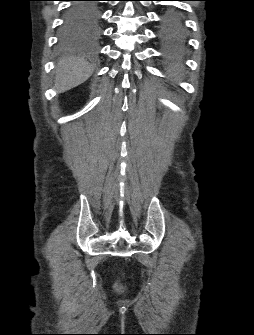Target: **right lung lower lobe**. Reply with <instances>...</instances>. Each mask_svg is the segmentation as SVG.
I'll return each instance as SVG.
<instances>
[{
    "label": "right lung lower lobe",
    "instance_id": "right-lung-lower-lobe-1",
    "mask_svg": "<svg viewBox=\"0 0 254 335\" xmlns=\"http://www.w3.org/2000/svg\"><path fill=\"white\" fill-rule=\"evenodd\" d=\"M88 2L93 1L85 0L73 3L66 14L64 25H72L80 22L82 28L85 30H90L97 25L99 10L88 6ZM70 13H74V16L70 15Z\"/></svg>",
    "mask_w": 254,
    "mask_h": 335
}]
</instances>
